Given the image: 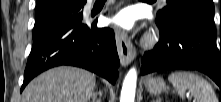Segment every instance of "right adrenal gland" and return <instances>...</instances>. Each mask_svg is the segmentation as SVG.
Returning a JSON list of instances; mask_svg holds the SVG:
<instances>
[{
	"mask_svg": "<svg viewBox=\"0 0 221 102\" xmlns=\"http://www.w3.org/2000/svg\"><path fill=\"white\" fill-rule=\"evenodd\" d=\"M92 102H101V100L99 98H97L96 95H93V100Z\"/></svg>",
	"mask_w": 221,
	"mask_h": 102,
	"instance_id": "obj_1",
	"label": "right adrenal gland"
}]
</instances>
